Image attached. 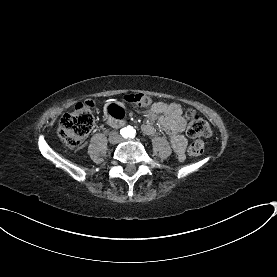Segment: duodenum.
<instances>
[{"instance_id":"duodenum-1","label":"duodenum","mask_w":277,"mask_h":277,"mask_svg":"<svg viewBox=\"0 0 277 277\" xmlns=\"http://www.w3.org/2000/svg\"><path fill=\"white\" fill-rule=\"evenodd\" d=\"M107 123H108V125L113 126V127L122 125V121H119L116 119H108Z\"/></svg>"}]
</instances>
